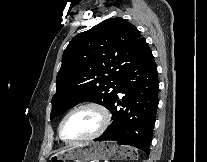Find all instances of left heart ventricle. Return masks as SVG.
Wrapping results in <instances>:
<instances>
[{"mask_svg":"<svg viewBox=\"0 0 207 162\" xmlns=\"http://www.w3.org/2000/svg\"><path fill=\"white\" fill-rule=\"evenodd\" d=\"M100 123L101 118L96 110H80L70 116L65 122L63 136L67 140L85 137L95 132L100 126Z\"/></svg>","mask_w":207,"mask_h":162,"instance_id":"left-heart-ventricle-1","label":"left heart ventricle"}]
</instances>
